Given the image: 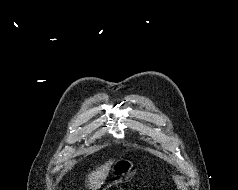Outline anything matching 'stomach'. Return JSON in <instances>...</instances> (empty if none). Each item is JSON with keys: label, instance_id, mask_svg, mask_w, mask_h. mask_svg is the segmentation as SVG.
<instances>
[{"label": "stomach", "instance_id": "obj_1", "mask_svg": "<svg viewBox=\"0 0 238 190\" xmlns=\"http://www.w3.org/2000/svg\"><path fill=\"white\" fill-rule=\"evenodd\" d=\"M133 163L129 160H119L112 167V173L115 177H124L132 172Z\"/></svg>", "mask_w": 238, "mask_h": 190}]
</instances>
